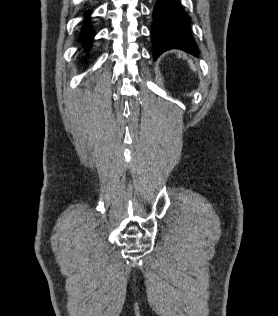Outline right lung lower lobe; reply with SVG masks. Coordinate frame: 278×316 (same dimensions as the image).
Returning <instances> with one entry per match:
<instances>
[{"mask_svg": "<svg viewBox=\"0 0 278 316\" xmlns=\"http://www.w3.org/2000/svg\"><path fill=\"white\" fill-rule=\"evenodd\" d=\"M90 12L87 13L86 16H88ZM93 32L91 30V27L89 24H86L82 30L81 36H80V41L83 42L84 46L87 48L91 47V41L93 39Z\"/></svg>", "mask_w": 278, "mask_h": 316, "instance_id": "98d812e1", "label": "right lung lower lobe"}]
</instances>
